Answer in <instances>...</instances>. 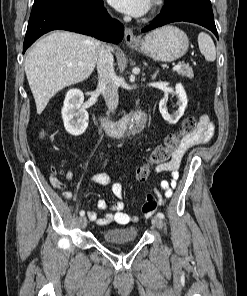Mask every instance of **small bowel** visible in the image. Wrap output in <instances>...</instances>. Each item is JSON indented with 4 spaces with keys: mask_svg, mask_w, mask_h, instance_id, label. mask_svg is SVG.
<instances>
[{
    "mask_svg": "<svg viewBox=\"0 0 247 296\" xmlns=\"http://www.w3.org/2000/svg\"><path fill=\"white\" fill-rule=\"evenodd\" d=\"M213 132L214 125L210 121L208 115H202L199 119L197 130L193 134L183 138L181 145L174 152L172 159L155 168L157 172H168L172 176L170 181L164 180L160 184L166 199L171 198L173 194V189L176 186V180L178 178V168L184 153L195 145L206 143L213 135ZM65 178L67 181L72 180L74 178V173L71 171L66 172ZM91 180L99 185H110L113 195L118 199V201L112 205H108L103 199L98 200L96 204L97 208L109 211L103 217H98L97 213L94 211H88L87 215L91 221H94L101 226H106L112 223L127 225L136 221L137 218L135 216H131L125 212V204L122 201L123 187L121 183L112 182L110 177L105 173L95 174L92 176ZM50 183L54 188L62 189L65 198L70 199L72 197V193L65 190L66 185L56 177H51ZM162 197L163 195L158 189H154L153 194H147L146 202L142 206V213L147 217L151 216L157 210V206L162 203Z\"/></svg>",
    "mask_w": 247,
    "mask_h": 296,
    "instance_id": "obj_1",
    "label": "small bowel"
}]
</instances>
